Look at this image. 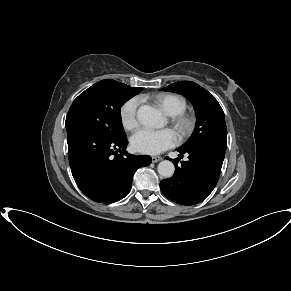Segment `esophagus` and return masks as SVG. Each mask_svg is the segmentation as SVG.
I'll return each instance as SVG.
<instances>
[{"mask_svg":"<svg viewBox=\"0 0 291 291\" xmlns=\"http://www.w3.org/2000/svg\"><path fill=\"white\" fill-rule=\"evenodd\" d=\"M152 162L153 163H157V162H159L160 160H162V157H160V156H152Z\"/></svg>","mask_w":291,"mask_h":291,"instance_id":"1","label":"esophagus"}]
</instances>
